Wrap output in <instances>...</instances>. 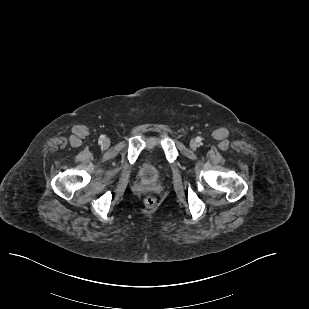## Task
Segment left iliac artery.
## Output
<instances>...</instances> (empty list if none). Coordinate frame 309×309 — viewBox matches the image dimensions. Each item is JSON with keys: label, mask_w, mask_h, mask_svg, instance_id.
<instances>
[{"label": "left iliac artery", "mask_w": 309, "mask_h": 309, "mask_svg": "<svg viewBox=\"0 0 309 309\" xmlns=\"http://www.w3.org/2000/svg\"><path fill=\"white\" fill-rule=\"evenodd\" d=\"M197 142H201V138L200 137H197Z\"/></svg>", "instance_id": "44dca946"}]
</instances>
